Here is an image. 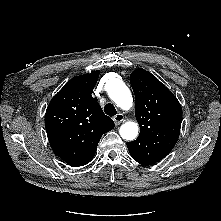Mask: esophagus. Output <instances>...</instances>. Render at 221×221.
<instances>
[{
    "mask_svg": "<svg viewBox=\"0 0 221 221\" xmlns=\"http://www.w3.org/2000/svg\"><path fill=\"white\" fill-rule=\"evenodd\" d=\"M124 120V115L119 113L113 117V121L116 125H119Z\"/></svg>",
    "mask_w": 221,
    "mask_h": 221,
    "instance_id": "obj_1",
    "label": "esophagus"
}]
</instances>
